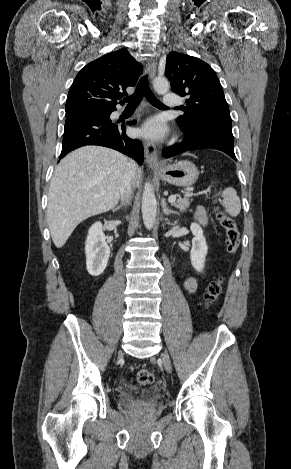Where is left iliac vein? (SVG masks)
<instances>
[{
  "label": "left iliac vein",
  "mask_w": 291,
  "mask_h": 469,
  "mask_svg": "<svg viewBox=\"0 0 291 469\" xmlns=\"http://www.w3.org/2000/svg\"><path fill=\"white\" fill-rule=\"evenodd\" d=\"M162 360H163V364H164V367L165 369L170 372L171 371V362H170V359H169V356L167 353H164L163 356H162Z\"/></svg>",
  "instance_id": "left-iliac-vein-1"
}]
</instances>
